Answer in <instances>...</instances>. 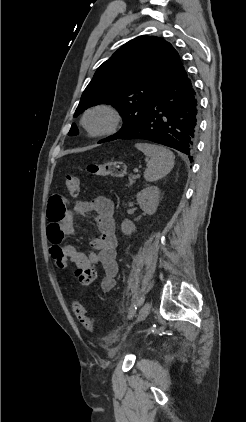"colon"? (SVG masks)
Instances as JSON below:
<instances>
[{"label": "colon", "instance_id": "1", "mask_svg": "<svg viewBox=\"0 0 246 422\" xmlns=\"http://www.w3.org/2000/svg\"><path fill=\"white\" fill-rule=\"evenodd\" d=\"M90 174L96 176H112L124 177L127 169L124 163L119 161H110L103 164H90L87 167ZM65 187L72 196H77L80 192L79 179L76 176L68 175L65 179ZM52 258L59 268H65L69 261L65 257L62 250L58 247L51 249ZM77 278L82 285H90L94 282L97 276L96 266L90 264L76 272ZM73 314L77 320L90 332L95 330L94 321L88 316L87 311L78 301L72 303Z\"/></svg>", "mask_w": 246, "mask_h": 422}]
</instances>
